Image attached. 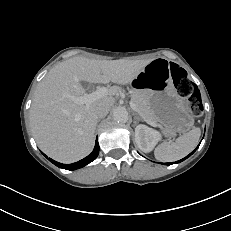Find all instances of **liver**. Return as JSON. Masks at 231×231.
Segmentation results:
<instances>
[{
	"mask_svg": "<svg viewBox=\"0 0 231 231\" xmlns=\"http://www.w3.org/2000/svg\"><path fill=\"white\" fill-rule=\"evenodd\" d=\"M153 59L91 60L73 57L52 68L39 83L30 109V123L38 147L62 163L87 156L94 143L98 122L96 108L114 104L118 88L89 105L76 104L71 96H82L80 81L107 84L130 83Z\"/></svg>",
	"mask_w": 231,
	"mask_h": 231,
	"instance_id": "liver-1",
	"label": "liver"
}]
</instances>
